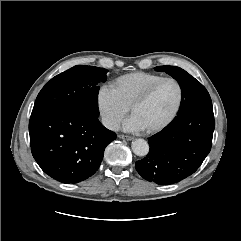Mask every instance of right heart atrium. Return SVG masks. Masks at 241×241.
<instances>
[{
	"instance_id": "right-heart-atrium-1",
	"label": "right heart atrium",
	"mask_w": 241,
	"mask_h": 241,
	"mask_svg": "<svg viewBox=\"0 0 241 241\" xmlns=\"http://www.w3.org/2000/svg\"><path fill=\"white\" fill-rule=\"evenodd\" d=\"M97 107L103 124L111 130H115L127 115V107L110 86H102L97 92Z\"/></svg>"
}]
</instances>
